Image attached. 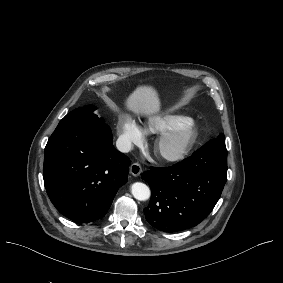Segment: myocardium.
<instances>
[{
	"instance_id": "myocardium-1",
	"label": "myocardium",
	"mask_w": 283,
	"mask_h": 283,
	"mask_svg": "<svg viewBox=\"0 0 283 283\" xmlns=\"http://www.w3.org/2000/svg\"><path fill=\"white\" fill-rule=\"evenodd\" d=\"M197 137L195 123L190 119H184L174 128L162 131L156 142L158 144L179 142V149L176 153L163 158L164 165H175L182 162L191 152Z\"/></svg>"
}]
</instances>
